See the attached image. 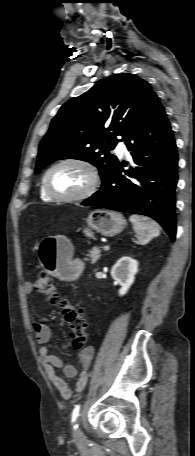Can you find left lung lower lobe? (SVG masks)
<instances>
[{"label":"left lung lower lobe","instance_id":"0a47b994","mask_svg":"<svg viewBox=\"0 0 195 456\" xmlns=\"http://www.w3.org/2000/svg\"><path fill=\"white\" fill-rule=\"evenodd\" d=\"M124 140L136 166L122 175V167L127 164L118 161L101 189L82 205L149 216L174 240L178 155L171 125L158 97L133 123Z\"/></svg>","mask_w":195,"mask_h":456}]
</instances>
